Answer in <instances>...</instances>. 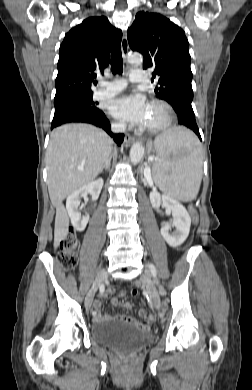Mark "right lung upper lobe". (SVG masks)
Returning <instances> with one entry per match:
<instances>
[{"instance_id":"cb5924a9","label":"right lung upper lobe","mask_w":252,"mask_h":390,"mask_svg":"<svg viewBox=\"0 0 252 390\" xmlns=\"http://www.w3.org/2000/svg\"><path fill=\"white\" fill-rule=\"evenodd\" d=\"M122 40V31L104 16L90 17L72 28L59 49L54 101L93 94L96 71L110 62L109 54Z\"/></svg>"}]
</instances>
